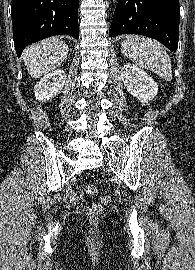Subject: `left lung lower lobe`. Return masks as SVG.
<instances>
[{
	"label": "left lung lower lobe",
	"mask_w": 195,
	"mask_h": 270,
	"mask_svg": "<svg viewBox=\"0 0 195 270\" xmlns=\"http://www.w3.org/2000/svg\"><path fill=\"white\" fill-rule=\"evenodd\" d=\"M179 22V0H118L109 36L139 34L176 52Z\"/></svg>",
	"instance_id": "0a47b994"
}]
</instances>
